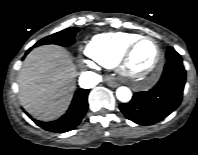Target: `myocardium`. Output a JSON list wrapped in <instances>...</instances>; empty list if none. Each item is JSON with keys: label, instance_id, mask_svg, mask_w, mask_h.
I'll return each mask as SVG.
<instances>
[{"label": "myocardium", "instance_id": "myocardium-1", "mask_svg": "<svg viewBox=\"0 0 198 155\" xmlns=\"http://www.w3.org/2000/svg\"><path fill=\"white\" fill-rule=\"evenodd\" d=\"M146 40H149L155 43L157 47V58H156L154 65L147 73L137 74L130 70L129 63L131 61V57L135 48L141 42L146 41ZM163 60H164V53L159 42L155 38L150 37V36H139L136 39H134L132 42H130L129 45L124 49V51L122 52L121 56L119 57L117 61V66H118L120 74L124 78H126L127 80H129L131 83L135 85L145 86V85L151 84L152 82L156 80V78L159 75Z\"/></svg>", "mask_w": 198, "mask_h": 155}]
</instances>
